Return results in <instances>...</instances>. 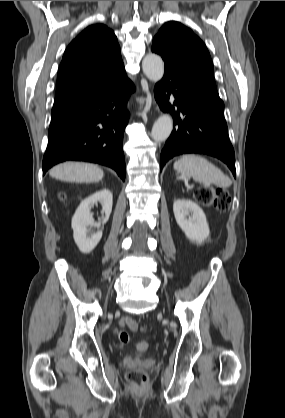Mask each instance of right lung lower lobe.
<instances>
[{"label":"right lung lower lobe","mask_w":285,"mask_h":418,"mask_svg":"<svg viewBox=\"0 0 285 418\" xmlns=\"http://www.w3.org/2000/svg\"><path fill=\"white\" fill-rule=\"evenodd\" d=\"M133 83L123 78L117 84L52 116L43 174L67 160L98 163L126 176L123 134L129 113L126 102Z\"/></svg>","instance_id":"right-lung-lower-lobe-1"}]
</instances>
